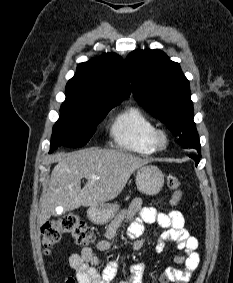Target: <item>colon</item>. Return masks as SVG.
I'll use <instances>...</instances> for the list:
<instances>
[{"mask_svg":"<svg viewBox=\"0 0 233 283\" xmlns=\"http://www.w3.org/2000/svg\"><path fill=\"white\" fill-rule=\"evenodd\" d=\"M166 182L172 192L170 203L176 205L181 198V181L178 177L169 175ZM41 234L42 243L47 253L60 241L64 234L70 235L82 247H88L95 239L93 229L73 214H66L47 221L41 228ZM63 283H75V281L73 278H67Z\"/></svg>","mask_w":233,"mask_h":283,"instance_id":"colon-1","label":"colon"}]
</instances>
